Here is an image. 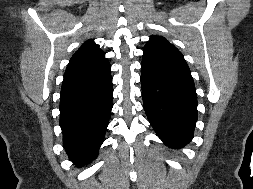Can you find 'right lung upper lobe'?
Listing matches in <instances>:
<instances>
[{"label":"right lung upper lobe","instance_id":"right-lung-upper-lobe-1","mask_svg":"<svg viewBox=\"0 0 253 189\" xmlns=\"http://www.w3.org/2000/svg\"><path fill=\"white\" fill-rule=\"evenodd\" d=\"M110 73L105 53L93 42L86 41L71 57L64 74V81L88 82Z\"/></svg>","mask_w":253,"mask_h":189}]
</instances>
